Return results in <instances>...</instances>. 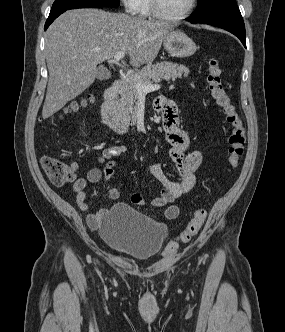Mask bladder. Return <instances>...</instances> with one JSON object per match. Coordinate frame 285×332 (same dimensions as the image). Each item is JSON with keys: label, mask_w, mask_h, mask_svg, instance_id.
I'll use <instances>...</instances> for the list:
<instances>
[{"label": "bladder", "mask_w": 285, "mask_h": 332, "mask_svg": "<svg viewBox=\"0 0 285 332\" xmlns=\"http://www.w3.org/2000/svg\"><path fill=\"white\" fill-rule=\"evenodd\" d=\"M99 233L115 252L142 261L162 251L168 230L130 205L119 203L104 213Z\"/></svg>", "instance_id": "bladder-1"}]
</instances>
